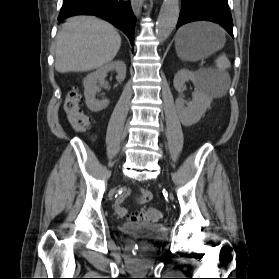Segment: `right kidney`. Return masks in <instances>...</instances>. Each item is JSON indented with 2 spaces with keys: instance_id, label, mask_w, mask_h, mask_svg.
<instances>
[{
  "instance_id": "ca27d5eb",
  "label": "right kidney",
  "mask_w": 279,
  "mask_h": 279,
  "mask_svg": "<svg viewBox=\"0 0 279 279\" xmlns=\"http://www.w3.org/2000/svg\"><path fill=\"white\" fill-rule=\"evenodd\" d=\"M110 71L117 72L116 79L119 82L123 81L126 77L125 63L123 61L117 60L108 63L103 67H100L95 72L88 74L83 81L86 105L92 112H99L105 109L109 104V100L107 99L101 101L97 100L96 92L99 89L98 84L100 86H106L105 77L107 76V73Z\"/></svg>"
}]
</instances>
